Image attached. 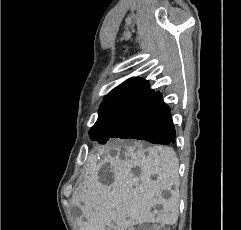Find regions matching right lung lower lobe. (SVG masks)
I'll list each match as a JSON object with an SVG mask.
<instances>
[{
    "mask_svg": "<svg viewBox=\"0 0 241 230\" xmlns=\"http://www.w3.org/2000/svg\"><path fill=\"white\" fill-rule=\"evenodd\" d=\"M143 118L144 123L136 128V139L163 145L174 142L176 133L170 108L164 103L159 91L146 105Z\"/></svg>",
    "mask_w": 241,
    "mask_h": 230,
    "instance_id": "1",
    "label": "right lung lower lobe"
}]
</instances>
